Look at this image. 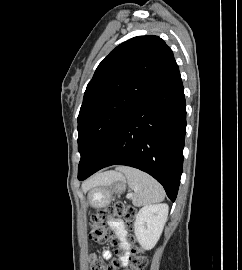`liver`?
<instances>
[{"mask_svg":"<svg viewBox=\"0 0 242 270\" xmlns=\"http://www.w3.org/2000/svg\"><path fill=\"white\" fill-rule=\"evenodd\" d=\"M113 174H115V172L110 171L95 175L86 184L83 185V188L93 187L95 185L105 183L106 181L111 179Z\"/></svg>","mask_w":242,"mask_h":270,"instance_id":"1","label":"liver"}]
</instances>
